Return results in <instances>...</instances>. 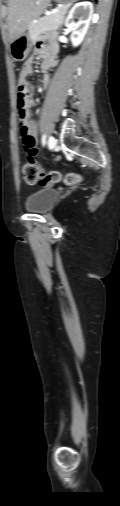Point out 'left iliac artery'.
I'll list each match as a JSON object with an SVG mask.
<instances>
[{
  "label": "left iliac artery",
  "instance_id": "obj_1",
  "mask_svg": "<svg viewBox=\"0 0 120 506\" xmlns=\"http://www.w3.org/2000/svg\"><path fill=\"white\" fill-rule=\"evenodd\" d=\"M41 142H42V145L44 146L46 143V135L45 134H43V136L41 138Z\"/></svg>",
  "mask_w": 120,
  "mask_h": 506
}]
</instances>
